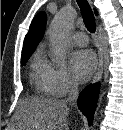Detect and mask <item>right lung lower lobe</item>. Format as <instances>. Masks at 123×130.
Returning a JSON list of instances; mask_svg holds the SVG:
<instances>
[{
    "label": "right lung lower lobe",
    "instance_id": "98d812e1",
    "mask_svg": "<svg viewBox=\"0 0 123 130\" xmlns=\"http://www.w3.org/2000/svg\"><path fill=\"white\" fill-rule=\"evenodd\" d=\"M99 90V83L90 84L82 90L78 97V107L81 112L87 117L89 125H91L93 121V115L99 96Z\"/></svg>",
    "mask_w": 123,
    "mask_h": 130
}]
</instances>
